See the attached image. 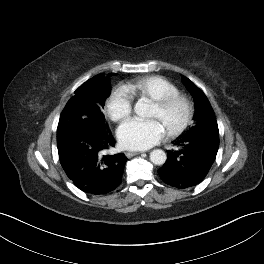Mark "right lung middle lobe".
Returning <instances> with one entry per match:
<instances>
[{
  "label": "right lung middle lobe",
  "mask_w": 264,
  "mask_h": 264,
  "mask_svg": "<svg viewBox=\"0 0 264 264\" xmlns=\"http://www.w3.org/2000/svg\"><path fill=\"white\" fill-rule=\"evenodd\" d=\"M111 75L113 74L108 76ZM110 91V82L104 74L83 83L61 113L57 138H60L62 133L87 123H96L108 128L102 109Z\"/></svg>",
  "instance_id": "right-lung-middle-lobe-1"
}]
</instances>
